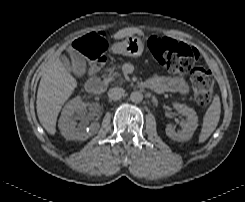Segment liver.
Wrapping results in <instances>:
<instances>
[{
  "label": "liver",
  "mask_w": 245,
  "mask_h": 202,
  "mask_svg": "<svg viewBox=\"0 0 245 202\" xmlns=\"http://www.w3.org/2000/svg\"><path fill=\"white\" fill-rule=\"evenodd\" d=\"M140 32L138 28H124L116 32L114 38L131 37ZM76 87L77 81L66 71L61 61L47 65L40 80L36 109L41 125L49 134H55L58 114Z\"/></svg>",
  "instance_id": "1"
}]
</instances>
